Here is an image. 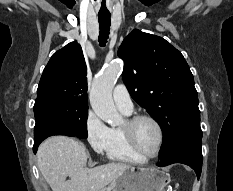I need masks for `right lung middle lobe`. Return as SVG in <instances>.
Returning a JSON list of instances; mask_svg holds the SVG:
<instances>
[{"mask_svg":"<svg viewBox=\"0 0 233 191\" xmlns=\"http://www.w3.org/2000/svg\"><path fill=\"white\" fill-rule=\"evenodd\" d=\"M34 140L52 135L87 138L88 107L55 100L37 101Z\"/></svg>","mask_w":233,"mask_h":191,"instance_id":"dd1d6c3e","label":"right lung middle lobe"}]
</instances>
